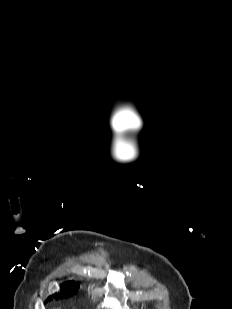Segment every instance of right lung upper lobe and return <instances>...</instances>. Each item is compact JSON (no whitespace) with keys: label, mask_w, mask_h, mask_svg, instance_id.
Here are the masks:
<instances>
[{"label":"right lung upper lobe","mask_w":232,"mask_h":309,"mask_svg":"<svg viewBox=\"0 0 232 309\" xmlns=\"http://www.w3.org/2000/svg\"><path fill=\"white\" fill-rule=\"evenodd\" d=\"M73 285H74V290L77 292V291H78V288L75 286L74 281H71V282H68V283L64 284V285H63V289H64V287L73 286ZM76 292H75V293H76ZM75 293H74V294H75ZM74 294H73V295H74ZM53 298L59 299V298H64V297L61 296V295H59V294H55L54 296H50V297H49V299H53Z\"/></svg>","instance_id":"cb5924a9"}]
</instances>
